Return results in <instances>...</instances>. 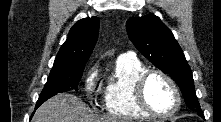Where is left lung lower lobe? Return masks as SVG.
I'll return each instance as SVG.
<instances>
[{
    "instance_id": "0a47b994",
    "label": "left lung lower lobe",
    "mask_w": 221,
    "mask_h": 122,
    "mask_svg": "<svg viewBox=\"0 0 221 122\" xmlns=\"http://www.w3.org/2000/svg\"><path fill=\"white\" fill-rule=\"evenodd\" d=\"M198 115H200L201 117H204V116H203V113H201V114H198Z\"/></svg>"
}]
</instances>
